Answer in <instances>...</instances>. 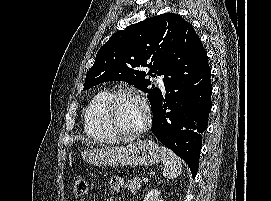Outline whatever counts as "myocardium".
I'll use <instances>...</instances> for the list:
<instances>
[{
	"label": "myocardium",
	"mask_w": 271,
	"mask_h": 201,
	"mask_svg": "<svg viewBox=\"0 0 271 201\" xmlns=\"http://www.w3.org/2000/svg\"><path fill=\"white\" fill-rule=\"evenodd\" d=\"M122 97H133L142 103L145 110V121L140 128L133 131L125 130L121 128L116 122L114 115L115 106L117 101ZM103 114L107 124L118 136L124 137L139 136L145 133L151 127L152 124V113L147 99L142 94L133 89H120L113 92L104 105Z\"/></svg>",
	"instance_id": "myocardium-1"
}]
</instances>
